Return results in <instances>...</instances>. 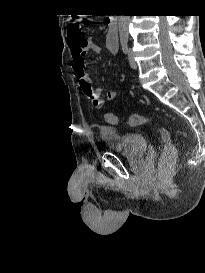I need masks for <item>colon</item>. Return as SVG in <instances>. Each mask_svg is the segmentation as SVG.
Returning <instances> with one entry per match:
<instances>
[{"mask_svg": "<svg viewBox=\"0 0 205 273\" xmlns=\"http://www.w3.org/2000/svg\"><path fill=\"white\" fill-rule=\"evenodd\" d=\"M84 18L75 19L68 27V35L70 42L79 46H85L86 40L82 36V26L84 25ZM105 119L111 124H119V118L113 113H106ZM129 122L133 126L155 125L159 129L161 139L163 141V167H167L176 157L177 151L175 145L172 143L169 132L162 126L158 125L153 119L136 114L131 115Z\"/></svg>", "mask_w": 205, "mask_h": 273, "instance_id": "1", "label": "colon"}]
</instances>
